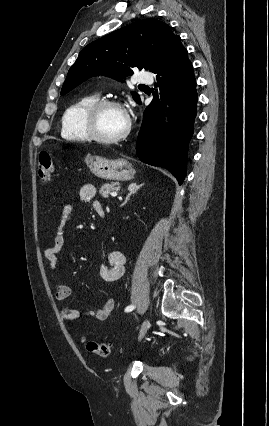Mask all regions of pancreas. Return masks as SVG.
Segmentation results:
<instances>
[{"label":"pancreas","mask_w":269,"mask_h":426,"mask_svg":"<svg viewBox=\"0 0 269 426\" xmlns=\"http://www.w3.org/2000/svg\"><path fill=\"white\" fill-rule=\"evenodd\" d=\"M120 189L119 183L112 182V183H106L103 184L99 192L104 198H108L111 191H118Z\"/></svg>","instance_id":"cf45deb5"}]
</instances>
